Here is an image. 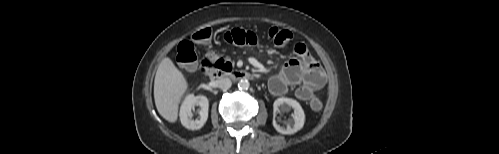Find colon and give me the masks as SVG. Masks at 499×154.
<instances>
[{"label":"colon","mask_w":499,"mask_h":154,"mask_svg":"<svg viewBox=\"0 0 499 154\" xmlns=\"http://www.w3.org/2000/svg\"><path fill=\"white\" fill-rule=\"evenodd\" d=\"M211 35V29L204 28L196 32L191 40L182 41L177 47L178 65L184 69H193L197 64L194 43L205 42L211 38ZM268 37L276 46L282 48L289 46L292 41V33L278 27L270 28ZM206 63L219 70H226L228 68V64L220 59L209 58ZM309 104L314 111H320L323 107V103L318 97H312Z\"/></svg>","instance_id":"colon-1"}]
</instances>
